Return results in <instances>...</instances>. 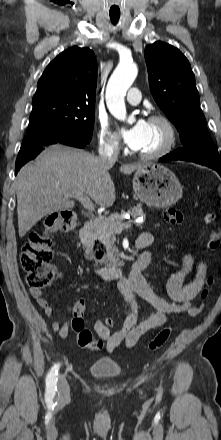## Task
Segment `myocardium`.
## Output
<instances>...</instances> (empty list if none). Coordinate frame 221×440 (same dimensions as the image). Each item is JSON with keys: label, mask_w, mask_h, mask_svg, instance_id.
I'll return each mask as SVG.
<instances>
[{"label": "myocardium", "mask_w": 221, "mask_h": 440, "mask_svg": "<svg viewBox=\"0 0 221 440\" xmlns=\"http://www.w3.org/2000/svg\"><path fill=\"white\" fill-rule=\"evenodd\" d=\"M149 122L160 123L166 131V140L157 150L150 152L139 151L138 155L144 159H159L168 155L176 145L177 133L172 121L165 115L157 113L149 118Z\"/></svg>", "instance_id": "myocardium-1"}]
</instances>
